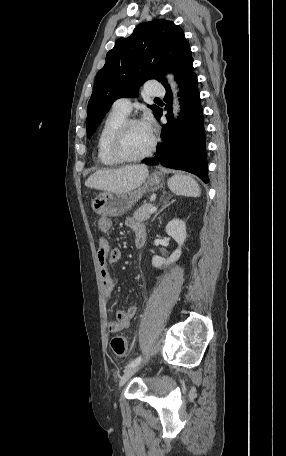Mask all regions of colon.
Wrapping results in <instances>:
<instances>
[{"instance_id":"colon-1","label":"colon","mask_w":286,"mask_h":456,"mask_svg":"<svg viewBox=\"0 0 286 456\" xmlns=\"http://www.w3.org/2000/svg\"><path fill=\"white\" fill-rule=\"evenodd\" d=\"M111 347L116 356L122 357L126 355L128 345L126 338L123 336H116L111 340Z\"/></svg>"}]
</instances>
